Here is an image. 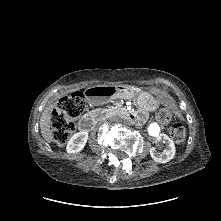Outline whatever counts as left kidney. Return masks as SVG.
Instances as JSON below:
<instances>
[{
    "label": "left kidney",
    "mask_w": 221,
    "mask_h": 221,
    "mask_svg": "<svg viewBox=\"0 0 221 221\" xmlns=\"http://www.w3.org/2000/svg\"><path fill=\"white\" fill-rule=\"evenodd\" d=\"M160 139L166 145V149L163 152H158L155 147H152L150 156L155 162L167 163L175 156L176 148L174 142L166 134H163Z\"/></svg>",
    "instance_id": "obj_1"
}]
</instances>
